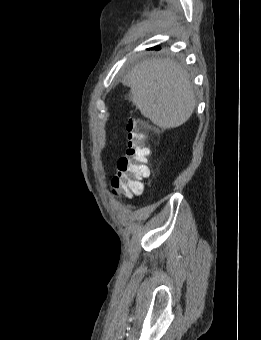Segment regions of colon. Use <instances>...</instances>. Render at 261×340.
Here are the masks:
<instances>
[{
	"label": "colon",
	"instance_id": "colon-1",
	"mask_svg": "<svg viewBox=\"0 0 261 340\" xmlns=\"http://www.w3.org/2000/svg\"><path fill=\"white\" fill-rule=\"evenodd\" d=\"M126 155L117 162V175L112 179V193L115 196L131 198L141 194L142 180L149 176L147 159L150 153L145 143V134L138 123L127 122Z\"/></svg>",
	"mask_w": 261,
	"mask_h": 340
}]
</instances>
